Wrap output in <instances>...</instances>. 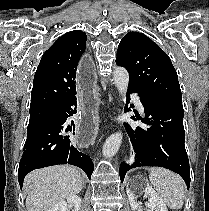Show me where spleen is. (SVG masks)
<instances>
[{
    "instance_id": "obj_1",
    "label": "spleen",
    "mask_w": 209,
    "mask_h": 211,
    "mask_svg": "<svg viewBox=\"0 0 209 211\" xmlns=\"http://www.w3.org/2000/svg\"><path fill=\"white\" fill-rule=\"evenodd\" d=\"M151 184L158 196L173 210L183 207L185 185L183 180L174 172L165 168L153 167L149 169Z\"/></svg>"
}]
</instances>
